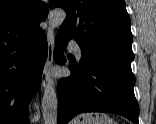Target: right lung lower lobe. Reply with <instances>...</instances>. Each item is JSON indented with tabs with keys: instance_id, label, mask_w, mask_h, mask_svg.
Segmentation results:
<instances>
[{
	"instance_id": "obj_1",
	"label": "right lung lower lobe",
	"mask_w": 156,
	"mask_h": 124,
	"mask_svg": "<svg viewBox=\"0 0 156 124\" xmlns=\"http://www.w3.org/2000/svg\"><path fill=\"white\" fill-rule=\"evenodd\" d=\"M47 54L42 29L0 44V124H29L28 106L40 87Z\"/></svg>"
}]
</instances>
